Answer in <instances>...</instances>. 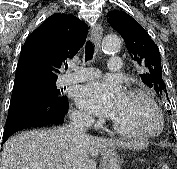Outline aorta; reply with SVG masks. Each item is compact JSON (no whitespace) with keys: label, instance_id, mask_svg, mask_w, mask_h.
<instances>
[{"label":"aorta","instance_id":"762f6f07","mask_svg":"<svg viewBox=\"0 0 177 169\" xmlns=\"http://www.w3.org/2000/svg\"><path fill=\"white\" fill-rule=\"evenodd\" d=\"M120 39L116 35H107L102 42V49L105 53L117 52L120 48Z\"/></svg>","mask_w":177,"mask_h":169}]
</instances>
